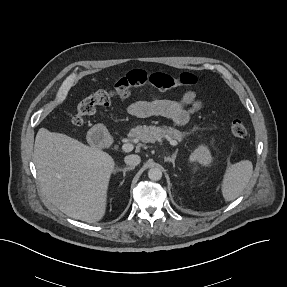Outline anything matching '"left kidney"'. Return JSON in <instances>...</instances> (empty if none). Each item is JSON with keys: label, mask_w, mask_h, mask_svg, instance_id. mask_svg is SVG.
Wrapping results in <instances>:
<instances>
[{"label": "left kidney", "mask_w": 287, "mask_h": 287, "mask_svg": "<svg viewBox=\"0 0 287 287\" xmlns=\"http://www.w3.org/2000/svg\"><path fill=\"white\" fill-rule=\"evenodd\" d=\"M190 162H198L203 166H209L212 162V157L205 146H200L190 155Z\"/></svg>", "instance_id": "obj_1"}]
</instances>
